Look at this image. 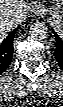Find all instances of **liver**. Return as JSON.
Returning a JSON list of instances; mask_svg holds the SVG:
<instances>
[{"label": "liver", "mask_w": 63, "mask_h": 107, "mask_svg": "<svg viewBox=\"0 0 63 107\" xmlns=\"http://www.w3.org/2000/svg\"><path fill=\"white\" fill-rule=\"evenodd\" d=\"M28 4L25 0H0V40H3L11 29L26 19ZM17 16V22L11 25L8 19Z\"/></svg>", "instance_id": "obj_1"}]
</instances>
